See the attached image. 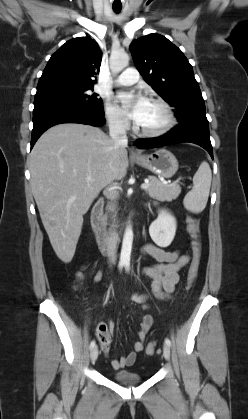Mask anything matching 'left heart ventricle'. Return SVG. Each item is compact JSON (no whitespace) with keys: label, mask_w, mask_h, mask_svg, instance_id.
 Masks as SVG:
<instances>
[{"label":"left heart ventricle","mask_w":248,"mask_h":419,"mask_svg":"<svg viewBox=\"0 0 248 419\" xmlns=\"http://www.w3.org/2000/svg\"><path fill=\"white\" fill-rule=\"evenodd\" d=\"M165 120L166 116L163 109L159 105L149 101L144 116L138 122V125L143 129L153 130L162 126Z\"/></svg>","instance_id":"1"}]
</instances>
